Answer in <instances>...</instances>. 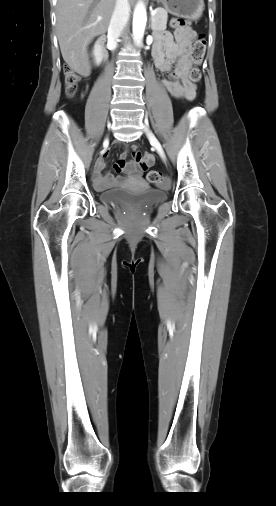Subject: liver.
I'll list each match as a JSON object with an SVG mask.
<instances>
[{
	"mask_svg": "<svg viewBox=\"0 0 276 506\" xmlns=\"http://www.w3.org/2000/svg\"><path fill=\"white\" fill-rule=\"evenodd\" d=\"M115 4L116 0H58L57 37L63 59L73 71L89 75L87 47L107 31Z\"/></svg>",
	"mask_w": 276,
	"mask_h": 506,
	"instance_id": "obj_1",
	"label": "liver"
}]
</instances>
